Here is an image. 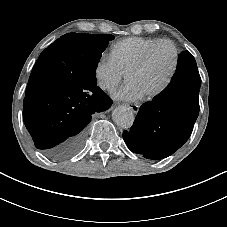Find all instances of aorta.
I'll use <instances>...</instances> for the list:
<instances>
[{"mask_svg": "<svg viewBox=\"0 0 227 227\" xmlns=\"http://www.w3.org/2000/svg\"><path fill=\"white\" fill-rule=\"evenodd\" d=\"M112 119L117 126L130 128L133 125L135 117L129 107L119 106L113 110Z\"/></svg>", "mask_w": 227, "mask_h": 227, "instance_id": "aorta-1", "label": "aorta"}]
</instances>
